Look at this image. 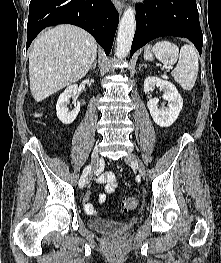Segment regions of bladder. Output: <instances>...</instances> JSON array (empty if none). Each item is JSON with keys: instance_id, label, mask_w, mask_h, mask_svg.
<instances>
[{"instance_id": "31cf9c89", "label": "bladder", "mask_w": 221, "mask_h": 263, "mask_svg": "<svg viewBox=\"0 0 221 263\" xmlns=\"http://www.w3.org/2000/svg\"><path fill=\"white\" fill-rule=\"evenodd\" d=\"M91 229L104 233H123L130 228L128 222L93 217L88 220Z\"/></svg>"}]
</instances>
